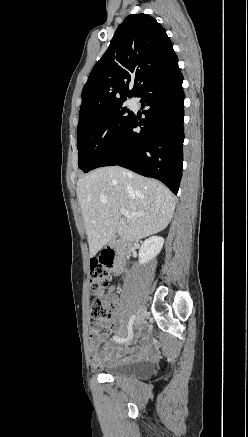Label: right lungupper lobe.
Instances as JSON below:
<instances>
[{
  "instance_id": "1",
  "label": "right lung upper lobe",
  "mask_w": 248,
  "mask_h": 437,
  "mask_svg": "<svg viewBox=\"0 0 248 437\" xmlns=\"http://www.w3.org/2000/svg\"><path fill=\"white\" fill-rule=\"evenodd\" d=\"M175 56L165 29L147 14L120 24L82 91L79 124L137 92ZM130 81H134L129 90Z\"/></svg>"
}]
</instances>
